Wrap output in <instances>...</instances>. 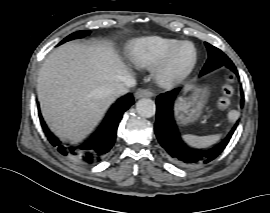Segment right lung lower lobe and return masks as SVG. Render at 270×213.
I'll use <instances>...</instances> for the list:
<instances>
[{
  "instance_id": "98d812e1",
  "label": "right lung lower lobe",
  "mask_w": 270,
  "mask_h": 213,
  "mask_svg": "<svg viewBox=\"0 0 270 213\" xmlns=\"http://www.w3.org/2000/svg\"><path fill=\"white\" fill-rule=\"evenodd\" d=\"M134 103L132 94L122 97L107 113L97 131L82 145L62 144L47 128L39 110L42 128L49 142L64 155L82 163L92 164L100 161L112 148L116 140V131L123 113Z\"/></svg>"
}]
</instances>
